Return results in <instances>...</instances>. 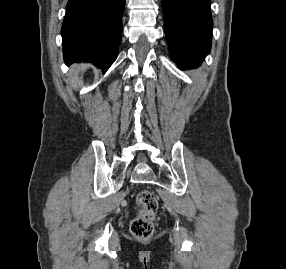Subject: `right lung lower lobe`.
<instances>
[{"mask_svg": "<svg viewBox=\"0 0 286 269\" xmlns=\"http://www.w3.org/2000/svg\"><path fill=\"white\" fill-rule=\"evenodd\" d=\"M125 0H69L62 25L64 61L92 62L106 72L121 42Z\"/></svg>", "mask_w": 286, "mask_h": 269, "instance_id": "98d812e1", "label": "right lung lower lobe"}]
</instances>
